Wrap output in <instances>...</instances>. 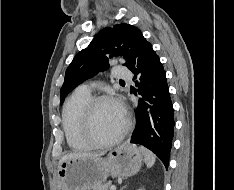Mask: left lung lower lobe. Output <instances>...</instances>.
<instances>
[{
  "mask_svg": "<svg viewBox=\"0 0 234 190\" xmlns=\"http://www.w3.org/2000/svg\"><path fill=\"white\" fill-rule=\"evenodd\" d=\"M135 77L140 95L136 108L137 125L131 143L145 146L154 152L168 168L174 135V113L166 73L158 55L149 42H145L129 68Z\"/></svg>",
  "mask_w": 234,
  "mask_h": 190,
  "instance_id": "1",
  "label": "left lung lower lobe"
}]
</instances>
